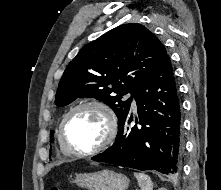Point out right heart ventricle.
I'll return each mask as SVG.
<instances>
[{
  "label": "right heart ventricle",
  "mask_w": 221,
  "mask_h": 190,
  "mask_svg": "<svg viewBox=\"0 0 221 190\" xmlns=\"http://www.w3.org/2000/svg\"><path fill=\"white\" fill-rule=\"evenodd\" d=\"M59 147H60V151H61L64 155H70L69 153H67V152L63 149V147H62V145L60 144V142H59Z\"/></svg>",
  "instance_id": "right-heart-ventricle-1"
}]
</instances>
